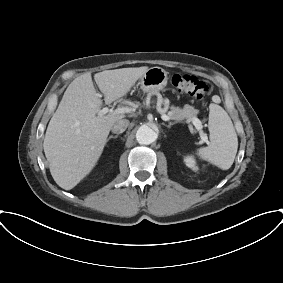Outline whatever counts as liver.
Listing matches in <instances>:
<instances>
[{
  "label": "liver",
  "mask_w": 283,
  "mask_h": 283,
  "mask_svg": "<svg viewBox=\"0 0 283 283\" xmlns=\"http://www.w3.org/2000/svg\"><path fill=\"white\" fill-rule=\"evenodd\" d=\"M148 70L147 66L105 70L94 75L106 104L125 96ZM103 102L91 73L75 78L53 114L43 142L54 181L63 189L74 188L95 167L112 126L125 117L101 114Z\"/></svg>",
  "instance_id": "obj_1"
}]
</instances>
